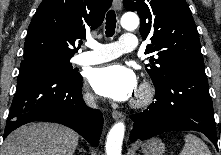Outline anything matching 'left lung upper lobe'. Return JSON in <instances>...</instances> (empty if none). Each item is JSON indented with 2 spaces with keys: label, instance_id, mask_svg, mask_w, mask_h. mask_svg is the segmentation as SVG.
<instances>
[{
  "label": "left lung upper lobe",
  "instance_id": "5c2ea615",
  "mask_svg": "<svg viewBox=\"0 0 221 155\" xmlns=\"http://www.w3.org/2000/svg\"><path fill=\"white\" fill-rule=\"evenodd\" d=\"M123 5L138 12L143 39L151 37L146 53L158 58H150L146 70L155 87L179 70L204 69L199 35L185 0H123Z\"/></svg>",
  "mask_w": 221,
  "mask_h": 155
}]
</instances>
